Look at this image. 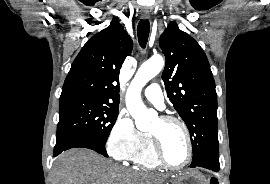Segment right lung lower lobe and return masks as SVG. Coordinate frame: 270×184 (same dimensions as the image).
I'll use <instances>...</instances> for the list:
<instances>
[{"label": "right lung lower lobe", "instance_id": "right-lung-lower-lobe-1", "mask_svg": "<svg viewBox=\"0 0 270 184\" xmlns=\"http://www.w3.org/2000/svg\"><path fill=\"white\" fill-rule=\"evenodd\" d=\"M71 148H87L96 151L99 154H102L105 157H108V154L105 149V145L100 142L94 140L93 138L70 134L57 138L56 145L54 147L53 156L59 155L62 151L71 149Z\"/></svg>", "mask_w": 270, "mask_h": 184}]
</instances>
